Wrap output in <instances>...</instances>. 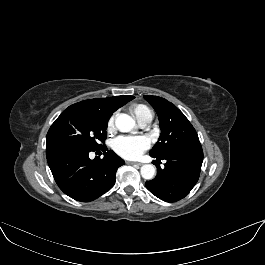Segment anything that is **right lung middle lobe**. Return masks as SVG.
<instances>
[{
    "mask_svg": "<svg viewBox=\"0 0 265 265\" xmlns=\"http://www.w3.org/2000/svg\"><path fill=\"white\" fill-rule=\"evenodd\" d=\"M109 118L100 112L81 106H69L51 125L46 136V149L78 148L97 150L107 137Z\"/></svg>",
    "mask_w": 265,
    "mask_h": 265,
    "instance_id": "obj_1",
    "label": "right lung middle lobe"
}]
</instances>
